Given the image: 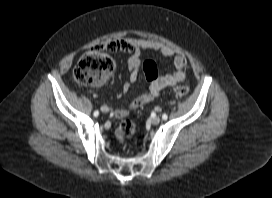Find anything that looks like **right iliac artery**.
Masks as SVG:
<instances>
[{
    "instance_id": "82829eb1",
    "label": "right iliac artery",
    "mask_w": 272,
    "mask_h": 198,
    "mask_svg": "<svg viewBox=\"0 0 272 198\" xmlns=\"http://www.w3.org/2000/svg\"><path fill=\"white\" fill-rule=\"evenodd\" d=\"M99 115V112L98 111H95L94 112V116L97 117Z\"/></svg>"
}]
</instances>
